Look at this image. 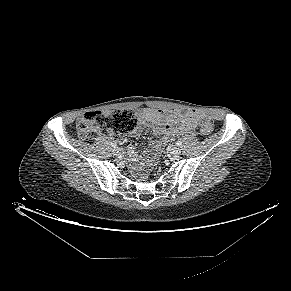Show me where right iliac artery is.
Instances as JSON below:
<instances>
[{
  "mask_svg": "<svg viewBox=\"0 0 291 291\" xmlns=\"http://www.w3.org/2000/svg\"><path fill=\"white\" fill-rule=\"evenodd\" d=\"M112 147L113 148H116L117 147V144L116 143H112Z\"/></svg>",
  "mask_w": 291,
  "mask_h": 291,
  "instance_id": "82829eb1",
  "label": "right iliac artery"
}]
</instances>
